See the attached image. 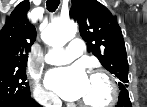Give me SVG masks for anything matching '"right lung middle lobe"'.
Here are the masks:
<instances>
[{
    "mask_svg": "<svg viewBox=\"0 0 147 107\" xmlns=\"http://www.w3.org/2000/svg\"><path fill=\"white\" fill-rule=\"evenodd\" d=\"M26 66L0 73V107L30 97Z\"/></svg>",
    "mask_w": 147,
    "mask_h": 107,
    "instance_id": "right-lung-middle-lobe-1",
    "label": "right lung middle lobe"
}]
</instances>
